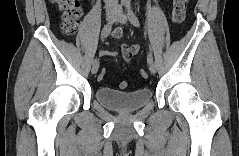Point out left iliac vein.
I'll list each match as a JSON object with an SVG mask.
<instances>
[{
  "label": "left iliac vein",
  "instance_id": "4c4485c4",
  "mask_svg": "<svg viewBox=\"0 0 239 156\" xmlns=\"http://www.w3.org/2000/svg\"><path fill=\"white\" fill-rule=\"evenodd\" d=\"M115 21L121 24H127V16L123 13L120 7L117 8L115 13ZM149 69L152 74H155L157 71V67L155 63H151Z\"/></svg>",
  "mask_w": 239,
  "mask_h": 156
}]
</instances>
